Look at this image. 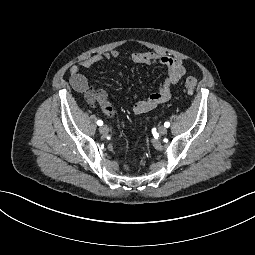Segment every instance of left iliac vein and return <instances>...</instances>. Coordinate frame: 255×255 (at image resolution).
<instances>
[{
	"label": "left iliac vein",
	"instance_id": "1",
	"mask_svg": "<svg viewBox=\"0 0 255 255\" xmlns=\"http://www.w3.org/2000/svg\"><path fill=\"white\" fill-rule=\"evenodd\" d=\"M158 133H159L160 135H165V134H167V128L164 127V126H160V127L158 128Z\"/></svg>",
	"mask_w": 255,
	"mask_h": 255
}]
</instances>
